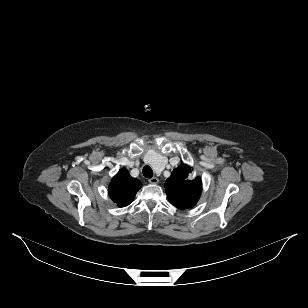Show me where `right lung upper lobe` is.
Returning <instances> with one entry per match:
<instances>
[{
    "label": "right lung upper lobe",
    "mask_w": 308,
    "mask_h": 308,
    "mask_svg": "<svg viewBox=\"0 0 308 308\" xmlns=\"http://www.w3.org/2000/svg\"><path fill=\"white\" fill-rule=\"evenodd\" d=\"M140 188L141 182L132 178L125 169H121L110 183L109 195L118 206L125 207L133 201Z\"/></svg>",
    "instance_id": "1"
}]
</instances>
